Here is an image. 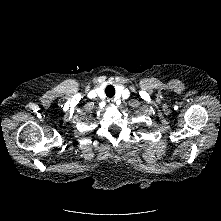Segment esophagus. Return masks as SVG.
<instances>
[{
  "label": "esophagus",
  "instance_id": "1",
  "mask_svg": "<svg viewBox=\"0 0 221 221\" xmlns=\"http://www.w3.org/2000/svg\"><path fill=\"white\" fill-rule=\"evenodd\" d=\"M107 102H108L109 104H113V103H114V99H113V98H108V99H107Z\"/></svg>",
  "mask_w": 221,
  "mask_h": 221
}]
</instances>
